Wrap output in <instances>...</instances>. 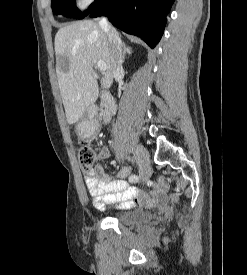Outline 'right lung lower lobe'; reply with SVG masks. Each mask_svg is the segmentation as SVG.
Segmentation results:
<instances>
[{"label":"right lung lower lobe","mask_w":247,"mask_h":275,"mask_svg":"<svg viewBox=\"0 0 247 275\" xmlns=\"http://www.w3.org/2000/svg\"><path fill=\"white\" fill-rule=\"evenodd\" d=\"M174 0H105L90 17L105 15L117 28L154 48L161 39Z\"/></svg>","instance_id":"98d812e1"}]
</instances>
